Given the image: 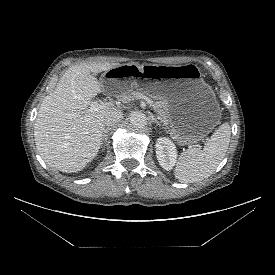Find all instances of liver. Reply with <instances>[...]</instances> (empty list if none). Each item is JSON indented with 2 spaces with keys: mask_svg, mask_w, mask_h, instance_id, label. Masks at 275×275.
<instances>
[{
  "mask_svg": "<svg viewBox=\"0 0 275 275\" xmlns=\"http://www.w3.org/2000/svg\"><path fill=\"white\" fill-rule=\"evenodd\" d=\"M119 65L91 62L72 66L43 99L34 138L48 166L66 173L78 172L95 158L103 140L105 115L116 109L88 111L91 99L104 91L94 75Z\"/></svg>",
  "mask_w": 275,
  "mask_h": 275,
  "instance_id": "6515ba94",
  "label": "liver"
}]
</instances>
